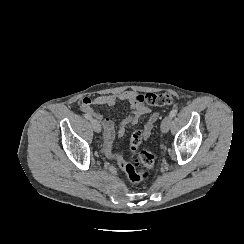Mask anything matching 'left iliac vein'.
Segmentation results:
<instances>
[{
    "label": "left iliac vein",
    "instance_id": "left-iliac-vein-1",
    "mask_svg": "<svg viewBox=\"0 0 244 244\" xmlns=\"http://www.w3.org/2000/svg\"><path fill=\"white\" fill-rule=\"evenodd\" d=\"M172 122V117L166 116L161 123V131L162 133H167L169 131L170 125Z\"/></svg>",
    "mask_w": 244,
    "mask_h": 244
}]
</instances>
